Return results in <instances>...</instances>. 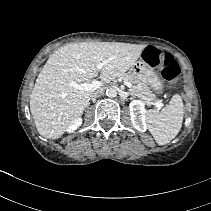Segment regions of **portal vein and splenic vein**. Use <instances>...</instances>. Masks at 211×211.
<instances>
[{"instance_id": "18ae733b", "label": "portal vein and splenic vein", "mask_w": 211, "mask_h": 211, "mask_svg": "<svg viewBox=\"0 0 211 211\" xmlns=\"http://www.w3.org/2000/svg\"><path fill=\"white\" fill-rule=\"evenodd\" d=\"M104 63L98 64L97 68L101 69L103 67ZM71 86L78 88L80 90H92V89H98L102 86V82L97 81L96 79H93L91 83H83V84H77L76 82L72 81L70 83ZM124 85L128 88H132V84L129 81H124ZM155 105L158 109H160L163 106V103L161 101H156L152 103Z\"/></svg>"}]
</instances>
